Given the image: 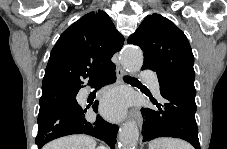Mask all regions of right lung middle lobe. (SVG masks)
I'll use <instances>...</instances> for the list:
<instances>
[{"mask_svg": "<svg viewBox=\"0 0 227 149\" xmlns=\"http://www.w3.org/2000/svg\"><path fill=\"white\" fill-rule=\"evenodd\" d=\"M79 89V87L70 85H53L50 87L42 88L39 114L44 113L55 105L77 104L75 97Z\"/></svg>", "mask_w": 227, "mask_h": 149, "instance_id": "right-lung-middle-lobe-1", "label": "right lung middle lobe"}]
</instances>
